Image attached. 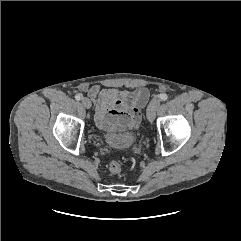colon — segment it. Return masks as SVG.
Listing matches in <instances>:
<instances>
[{
    "label": "colon",
    "mask_w": 241,
    "mask_h": 241,
    "mask_svg": "<svg viewBox=\"0 0 241 241\" xmlns=\"http://www.w3.org/2000/svg\"><path fill=\"white\" fill-rule=\"evenodd\" d=\"M109 170L113 174H118L122 170V162L118 159H114L109 163Z\"/></svg>",
    "instance_id": "5ec220e1"
}]
</instances>
